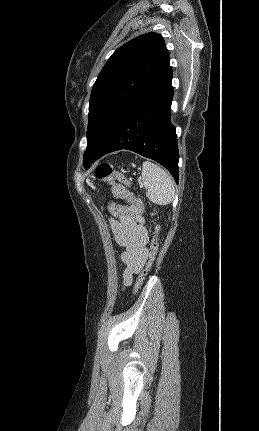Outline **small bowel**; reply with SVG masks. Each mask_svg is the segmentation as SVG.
Returning a JSON list of instances; mask_svg holds the SVG:
<instances>
[{
  "instance_id": "1",
  "label": "small bowel",
  "mask_w": 259,
  "mask_h": 431,
  "mask_svg": "<svg viewBox=\"0 0 259 431\" xmlns=\"http://www.w3.org/2000/svg\"><path fill=\"white\" fill-rule=\"evenodd\" d=\"M143 221V215L136 219L118 220L115 217L110 220L115 240L123 248L120 261L123 266L124 287L132 284L134 275L142 269L148 259V231Z\"/></svg>"
}]
</instances>
